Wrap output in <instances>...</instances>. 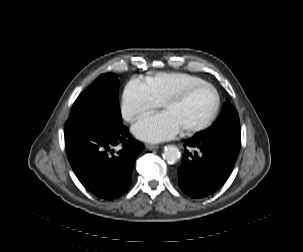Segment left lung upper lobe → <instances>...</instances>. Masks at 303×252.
Masks as SVG:
<instances>
[{"label":"left lung upper lobe","mask_w":303,"mask_h":252,"mask_svg":"<svg viewBox=\"0 0 303 252\" xmlns=\"http://www.w3.org/2000/svg\"><path fill=\"white\" fill-rule=\"evenodd\" d=\"M198 136L211 141L240 144V122L237 110L227 101L216 123L203 134L195 137Z\"/></svg>","instance_id":"1"}]
</instances>
